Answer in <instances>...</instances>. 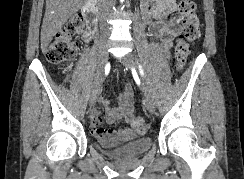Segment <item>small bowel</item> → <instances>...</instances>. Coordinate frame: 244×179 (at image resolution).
Returning <instances> with one entry per match:
<instances>
[{
	"instance_id": "c3829d8e",
	"label": "small bowel",
	"mask_w": 244,
	"mask_h": 179,
	"mask_svg": "<svg viewBox=\"0 0 244 179\" xmlns=\"http://www.w3.org/2000/svg\"><path fill=\"white\" fill-rule=\"evenodd\" d=\"M173 0L146 2L141 7V19L147 26L148 37L152 42H160V53L163 57L169 56L172 46V38L179 33V27L175 22V8ZM107 122L112 124L122 119L127 126L122 128H103L102 117L92 111V129L103 143L113 144L120 141H127L135 136L133 122V88L125 84L123 92L118 96V105L107 107Z\"/></svg>"
}]
</instances>
